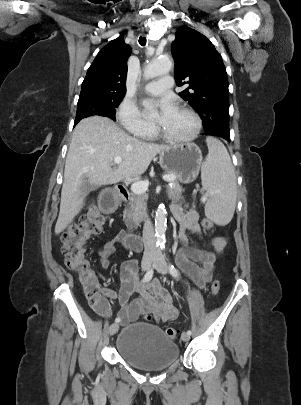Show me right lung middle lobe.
Returning a JSON list of instances; mask_svg holds the SVG:
<instances>
[{"label": "right lung middle lobe", "mask_w": 301, "mask_h": 405, "mask_svg": "<svg viewBox=\"0 0 301 405\" xmlns=\"http://www.w3.org/2000/svg\"><path fill=\"white\" fill-rule=\"evenodd\" d=\"M124 95L86 94L79 97L75 125L83 118L92 115L106 116L115 120V108Z\"/></svg>", "instance_id": "dd1d6c3e"}]
</instances>
